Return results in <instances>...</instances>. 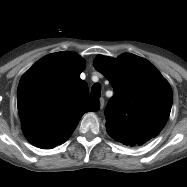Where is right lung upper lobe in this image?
<instances>
[{"mask_svg": "<svg viewBox=\"0 0 187 187\" xmlns=\"http://www.w3.org/2000/svg\"><path fill=\"white\" fill-rule=\"evenodd\" d=\"M85 60L76 53L56 52L38 60L21 78L18 112L27 140L43 149L67 140L82 115L100 108L80 79Z\"/></svg>", "mask_w": 187, "mask_h": 187, "instance_id": "obj_1", "label": "right lung upper lobe"}]
</instances>
